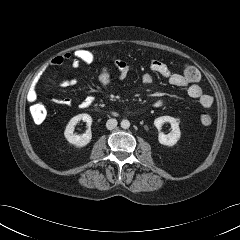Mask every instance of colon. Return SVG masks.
<instances>
[{"instance_id":"obj_1","label":"colon","mask_w":240,"mask_h":240,"mask_svg":"<svg viewBox=\"0 0 240 240\" xmlns=\"http://www.w3.org/2000/svg\"><path fill=\"white\" fill-rule=\"evenodd\" d=\"M70 63L74 67H78L83 64H92L100 60L97 53L87 48H80L70 53H67ZM183 75L189 82H196L200 79L199 71L192 65H186L183 70ZM30 114L33 120L37 123H41L45 120L47 111L44 105L41 103H32L30 105ZM212 114L208 111H203L200 115V122L203 125H210L212 123Z\"/></svg>"}]
</instances>
